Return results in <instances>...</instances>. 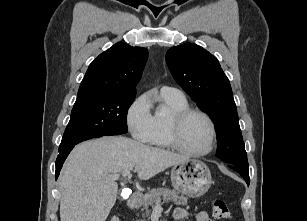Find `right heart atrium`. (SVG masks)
I'll return each instance as SVG.
<instances>
[{
  "label": "right heart atrium",
  "instance_id": "d8ad5b80",
  "mask_svg": "<svg viewBox=\"0 0 307 221\" xmlns=\"http://www.w3.org/2000/svg\"><path fill=\"white\" fill-rule=\"evenodd\" d=\"M151 116L146 95H140L130 104L126 112V122L134 139L140 142H148Z\"/></svg>",
  "mask_w": 307,
  "mask_h": 221
}]
</instances>
